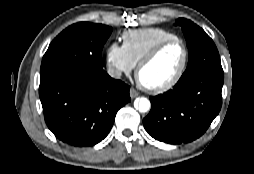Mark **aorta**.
Listing matches in <instances>:
<instances>
[{
    "mask_svg": "<svg viewBox=\"0 0 254 174\" xmlns=\"http://www.w3.org/2000/svg\"><path fill=\"white\" fill-rule=\"evenodd\" d=\"M134 106L139 112L144 113L150 110L151 103L147 98L141 97L135 100Z\"/></svg>",
    "mask_w": 254,
    "mask_h": 174,
    "instance_id": "1",
    "label": "aorta"
}]
</instances>
